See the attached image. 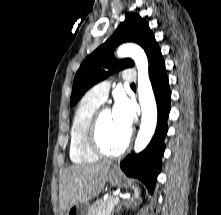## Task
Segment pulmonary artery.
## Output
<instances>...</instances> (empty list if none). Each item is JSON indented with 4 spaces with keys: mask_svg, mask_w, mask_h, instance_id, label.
I'll use <instances>...</instances> for the list:
<instances>
[{
    "mask_svg": "<svg viewBox=\"0 0 221 215\" xmlns=\"http://www.w3.org/2000/svg\"><path fill=\"white\" fill-rule=\"evenodd\" d=\"M122 80L125 83H134L136 81V74L132 69L126 70L122 75ZM109 93V84L106 82H102L94 86L88 94L93 98L99 100L100 102H104L107 99Z\"/></svg>",
    "mask_w": 221,
    "mask_h": 215,
    "instance_id": "obj_1",
    "label": "pulmonary artery"
}]
</instances>
